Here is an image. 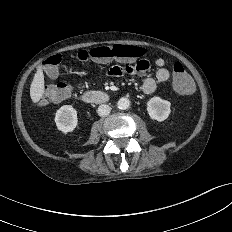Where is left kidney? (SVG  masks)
I'll return each instance as SVG.
<instances>
[{"mask_svg": "<svg viewBox=\"0 0 232 232\" xmlns=\"http://www.w3.org/2000/svg\"><path fill=\"white\" fill-rule=\"evenodd\" d=\"M170 106L169 101L155 96L147 102V111L151 119L161 122L168 118Z\"/></svg>", "mask_w": 232, "mask_h": 232, "instance_id": "left-kidney-1", "label": "left kidney"}]
</instances>
